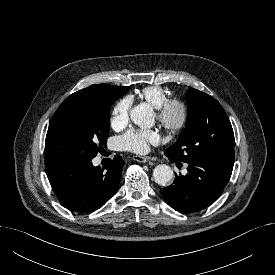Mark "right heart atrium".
Returning a JSON list of instances; mask_svg holds the SVG:
<instances>
[{"instance_id": "1", "label": "right heart atrium", "mask_w": 275, "mask_h": 275, "mask_svg": "<svg viewBox=\"0 0 275 275\" xmlns=\"http://www.w3.org/2000/svg\"><path fill=\"white\" fill-rule=\"evenodd\" d=\"M130 107L131 98L129 97L122 98L115 104L110 119L112 128L121 129L127 125L129 121Z\"/></svg>"}]
</instances>
